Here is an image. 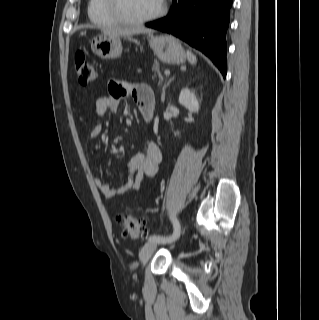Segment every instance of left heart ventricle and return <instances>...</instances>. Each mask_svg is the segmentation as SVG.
<instances>
[{
  "instance_id": "1",
  "label": "left heart ventricle",
  "mask_w": 319,
  "mask_h": 320,
  "mask_svg": "<svg viewBox=\"0 0 319 320\" xmlns=\"http://www.w3.org/2000/svg\"><path fill=\"white\" fill-rule=\"evenodd\" d=\"M123 12L134 18L146 17L156 12L162 0H120Z\"/></svg>"
}]
</instances>
